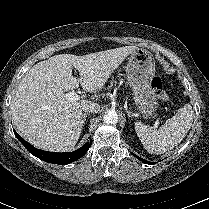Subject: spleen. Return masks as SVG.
<instances>
[{
  "label": "spleen",
  "mask_w": 209,
  "mask_h": 209,
  "mask_svg": "<svg viewBox=\"0 0 209 209\" xmlns=\"http://www.w3.org/2000/svg\"><path fill=\"white\" fill-rule=\"evenodd\" d=\"M193 117L191 105L186 104L158 130L153 131L150 126L136 122L135 131L149 153L162 154L173 149L184 139L191 128Z\"/></svg>",
  "instance_id": "spleen-1"
}]
</instances>
